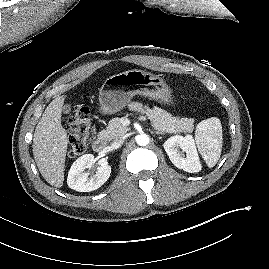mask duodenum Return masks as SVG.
Instances as JSON below:
<instances>
[{
  "label": "duodenum",
  "mask_w": 269,
  "mask_h": 269,
  "mask_svg": "<svg viewBox=\"0 0 269 269\" xmlns=\"http://www.w3.org/2000/svg\"><path fill=\"white\" fill-rule=\"evenodd\" d=\"M106 139L104 137H99L93 142V149L96 152H102L106 148Z\"/></svg>",
  "instance_id": "1"
}]
</instances>
